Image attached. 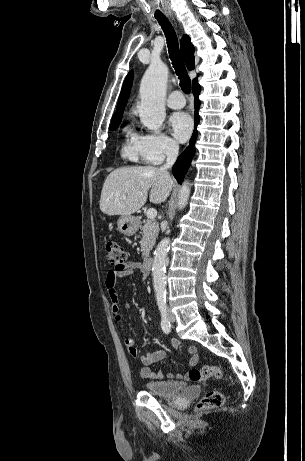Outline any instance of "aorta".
I'll return each mask as SVG.
<instances>
[{"label": "aorta", "mask_w": 305, "mask_h": 461, "mask_svg": "<svg viewBox=\"0 0 305 461\" xmlns=\"http://www.w3.org/2000/svg\"><path fill=\"white\" fill-rule=\"evenodd\" d=\"M168 79V67L158 61L152 62L146 70L140 85L141 103L140 120L144 126L157 132L165 120V96ZM190 184L184 181L178 192V209L182 210L190 196ZM170 246V238L162 239L154 252L152 277L157 297L166 294V258Z\"/></svg>", "instance_id": "1"}]
</instances>
